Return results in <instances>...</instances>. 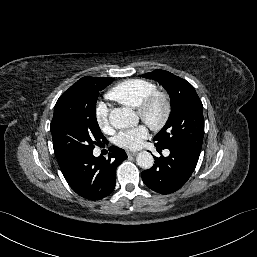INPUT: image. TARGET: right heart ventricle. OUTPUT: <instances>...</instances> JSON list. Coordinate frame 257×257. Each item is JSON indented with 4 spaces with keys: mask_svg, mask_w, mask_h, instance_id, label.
<instances>
[{
    "mask_svg": "<svg viewBox=\"0 0 257 257\" xmlns=\"http://www.w3.org/2000/svg\"><path fill=\"white\" fill-rule=\"evenodd\" d=\"M156 91V85L145 79H129L112 87L107 97L124 106L138 108L141 102Z\"/></svg>",
    "mask_w": 257,
    "mask_h": 257,
    "instance_id": "1",
    "label": "right heart ventricle"
}]
</instances>
